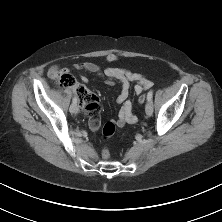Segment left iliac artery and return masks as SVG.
Listing matches in <instances>:
<instances>
[{
	"label": "left iliac artery",
	"mask_w": 222,
	"mask_h": 222,
	"mask_svg": "<svg viewBox=\"0 0 222 222\" xmlns=\"http://www.w3.org/2000/svg\"><path fill=\"white\" fill-rule=\"evenodd\" d=\"M152 98H153V91H149V92H148V95H147L148 101H151Z\"/></svg>",
	"instance_id": "left-iliac-artery-1"
}]
</instances>
